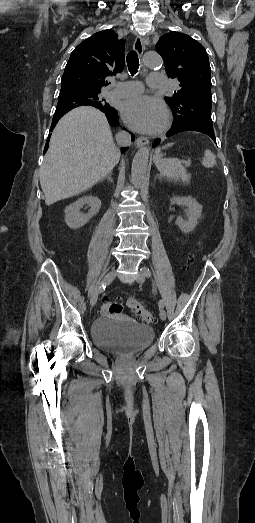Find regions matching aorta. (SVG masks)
<instances>
[{
  "instance_id": "aorta-1",
  "label": "aorta",
  "mask_w": 255,
  "mask_h": 523,
  "mask_svg": "<svg viewBox=\"0 0 255 523\" xmlns=\"http://www.w3.org/2000/svg\"><path fill=\"white\" fill-rule=\"evenodd\" d=\"M144 64L146 67L154 69L159 68L163 64L161 56L156 52H147L143 58ZM149 159V148L144 146L141 147L135 154L132 161L131 168V181L132 184L140 188L145 182L147 166Z\"/></svg>"
}]
</instances>
